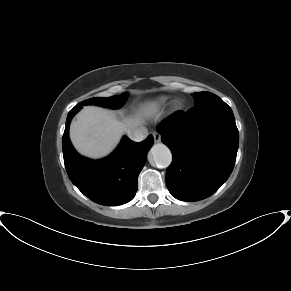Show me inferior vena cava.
<instances>
[{"label":"inferior vena cava","instance_id":"602c4592","mask_svg":"<svg viewBox=\"0 0 291 291\" xmlns=\"http://www.w3.org/2000/svg\"><path fill=\"white\" fill-rule=\"evenodd\" d=\"M128 136L135 142H141L148 136V130L146 127L141 126L128 132Z\"/></svg>","mask_w":291,"mask_h":291}]
</instances>
